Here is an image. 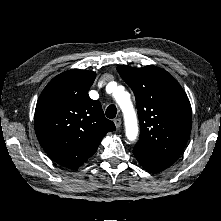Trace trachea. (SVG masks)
<instances>
[{"mask_svg":"<svg viewBox=\"0 0 221 221\" xmlns=\"http://www.w3.org/2000/svg\"><path fill=\"white\" fill-rule=\"evenodd\" d=\"M117 114V108L114 104H111L106 109V116L110 119H113L116 117Z\"/></svg>","mask_w":221,"mask_h":221,"instance_id":"3493384b","label":"trachea"}]
</instances>
